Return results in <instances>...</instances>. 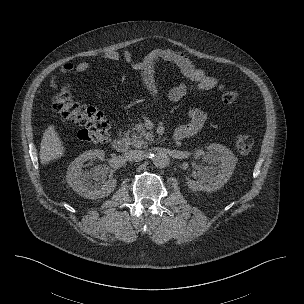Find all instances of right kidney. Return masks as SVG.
I'll return each mask as SVG.
<instances>
[{"label":"right kidney","instance_id":"obj_1","mask_svg":"<svg viewBox=\"0 0 304 304\" xmlns=\"http://www.w3.org/2000/svg\"><path fill=\"white\" fill-rule=\"evenodd\" d=\"M103 157V151L89 150L69 165L66 176L67 182L80 196L93 200L105 197L115 189L116 179L110 178L107 180V171L104 166H95L90 172L82 170V166L87 160Z\"/></svg>","mask_w":304,"mask_h":304}]
</instances>
